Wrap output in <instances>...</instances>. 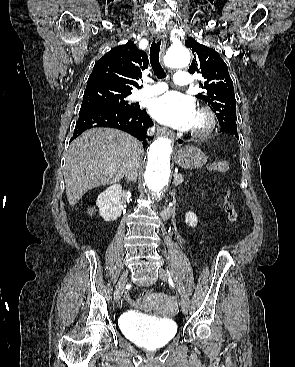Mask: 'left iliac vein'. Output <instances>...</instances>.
I'll use <instances>...</instances> for the list:
<instances>
[{"instance_id":"left-iliac-vein-1","label":"left iliac vein","mask_w":295,"mask_h":367,"mask_svg":"<svg viewBox=\"0 0 295 367\" xmlns=\"http://www.w3.org/2000/svg\"><path fill=\"white\" fill-rule=\"evenodd\" d=\"M158 276L163 281H167L168 280V274H167V272L163 268H160L159 269ZM177 289H178L179 292H181L180 286L177 285ZM180 307H181L182 313L183 314H187V312H188V306H187V302H186V300H185V298L183 296H181V299H180Z\"/></svg>"}]
</instances>
